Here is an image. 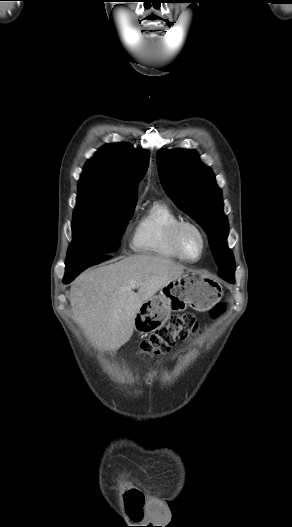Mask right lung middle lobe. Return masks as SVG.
<instances>
[{
    "mask_svg": "<svg viewBox=\"0 0 292 527\" xmlns=\"http://www.w3.org/2000/svg\"><path fill=\"white\" fill-rule=\"evenodd\" d=\"M135 203L108 201L96 193L78 192L73 242L67 259L92 258L116 251Z\"/></svg>",
    "mask_w": 292,
    "mask_h": 527,
    "instance_id": "dd1d6c3e",
    "label": "right lung middle lobe"
}]
</instances>
